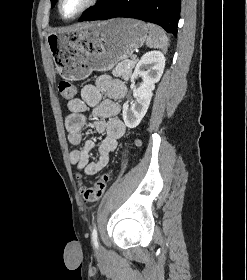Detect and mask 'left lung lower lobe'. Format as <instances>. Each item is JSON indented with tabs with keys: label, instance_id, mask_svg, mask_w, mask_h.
I'll list each match as a JSON object with an SVG mask.
<instances>
[{
	"label": "left lung lower lobe",
	"instance_id": "left-lung-lower-lobe-1",
	"mask_svg": "<svg viewBox=\"0 0 247 280\" xmlns=\"http://www.w3.org/2000/svg\"><path fill=\"white\" fill-rule=\"evenodd\" d=\"M180 11L181 0H108L79 21L129 17L155 23L177 36Z\"/></svg>",
	"mask_w": 247,
	"mask_h": 280
}]
</instances>
